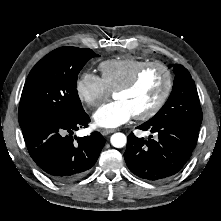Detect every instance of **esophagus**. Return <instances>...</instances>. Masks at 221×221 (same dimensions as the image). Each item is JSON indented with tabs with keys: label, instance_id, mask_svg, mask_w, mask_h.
<instances>
[{
	"label": "esophagus",
	"instance_id": "esophagus-1",
	"mask_svg": "<svg viewBox=\"0 0 221 221\" xmlns=\"http://www.w3.org/2000/svg\"><path fill=\"white\" fill-rule=\"evenodd\" d=\"M115 131H116L115 129H103V130H101V134L102 135H108V134H111Z\"/></svg>",
	"mask_w": 221,
	"mask_h": 221
}]
</instances>
